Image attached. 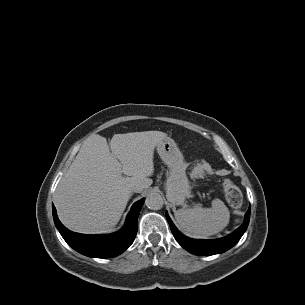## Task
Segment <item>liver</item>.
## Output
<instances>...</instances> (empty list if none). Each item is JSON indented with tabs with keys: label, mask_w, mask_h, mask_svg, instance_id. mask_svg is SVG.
<instances>
[{
	"label": "liver",
	"mask_w": 305,
	"mask_h": 305,
	"mask_svg": "<svg viewBox=\"0 0 305 305\" xmlns=\"http://www.w3.org/2000/svg\"><path fill=\"white\" fill-rule=\"evenodd\" d=\"M166 137L161 131L115 134L110 147L105 137H88L55 192L61 222L85 234L113 230L132 195L131 187L143 190L153 183L149 177L154 172V149ZM115 160L122 166L121 174Z\"/></svg>",
	"instance_id": "liver-1"
}]
</instances>
